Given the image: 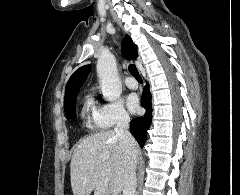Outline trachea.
<instances>
[{
    "label": "trachea",
    "mask_w": 240,
    "mask_h": 195,
    "mask_svg": "<svg viewBox=\"0 0 240 195\" xmlns=\"http://www.w3.org/2000/svg\"><path fill=\"white\" fill-rule=\"evenodd\" d=\"M128 69H129V72L131 73V75H133V77L136 78L137 82L143 83V80H142V78L137 70V67L135 65H129Z\"/></svg>",
    "instance_id": "trachea-1"
}]
</instances>
